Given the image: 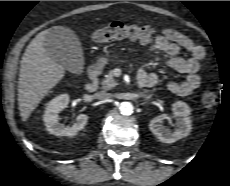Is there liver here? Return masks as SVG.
<instances>
[{
    "label": "liver",
    "instance_id": "obj_1",
    "mask_svg": "<svg viewBox=\"0 0 230 186\" xmlns=\"http://www.w3.org/2000/svg\"><path fill=\"white\" fill-rule=\"evenodd\" d=\"M48 30L37 34L22 56L18 81V105L24 122L28 120L43 97L65 75L64 68L50 57L45 48L44 41Z\"/></svg>",
    "mask_w": 230,
    "mask_h": 186
}]
</instances>
